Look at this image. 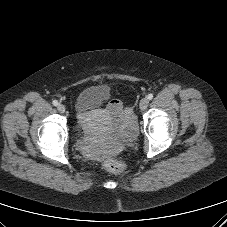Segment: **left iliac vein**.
I'll use <instances>...</instances> for the list:
<instances>
[{"label":"left iliac vein","instance_id":"1","mask_svg":"<svg viewBox=\"0 0 227 227\" xmlns=\"http://www.w3.org/2000/svg\"><path fill=\"white\" fill-rule=\"evenodd\" d=\"M149 105V100L147 98H143L141 101H140V109L141 110H145Z\"/></svg>","mask_w":227,"mask_h":227}]
</instances>
